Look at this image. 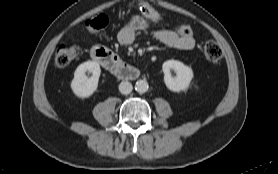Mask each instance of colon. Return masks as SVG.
Wrapping results in <instances>:
<instances>
[{"label":"colon","instance_id":"1","mask_svg":"<svg viewBox=\"0 0 278 174\" xmlns=\"http://www.w3.org/2000/svg\"><path fill=\"white\" fill-rule=\"evenodd\" d=\"M139 5L144 16L148 20L155 23L163 21L161 14L149 6L146 2L140 0ZM107 24L108 18L105 15H98L96 17L89 18L85 22V26L90 32H98L104 29ZM175 32L183 37H193L192 28L187 24L179 25ZM79 54L80 48L77 45L61 44L55 52L54 63L59 68L66 67L74 61ZM204 56L207 61L216 64L222 58V49L216 42L209 41L204 46Z\"/></svg>","mask_w":278,"mask_h":174}]
</instances>
